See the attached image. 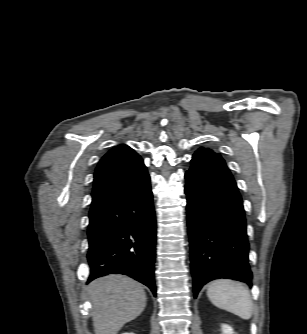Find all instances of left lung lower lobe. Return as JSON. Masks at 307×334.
<instances>
[{
    "mask_svg": "<svg viewBox=\"0 0 307 334\" xmlns=\"http://www.w3.org/2000/svg\"><path fill=\"white\" fill-rule=\"evenodd\" d=\"M185 178L194 297L218 278L251 286L243 202L229 169L192 161Z\"/></svg>",
    "mask_w": 307,
    "mask_h": 334,
    "instance_id": "left-lung-lower-lobe-1",
    "label": "left lung lower lobe"
}]
</instances>
